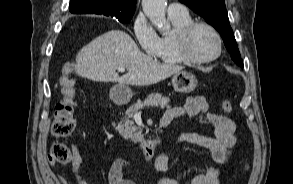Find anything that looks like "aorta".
<instances>
[{
	"label": "aorta",
	"instance_id": "762f6f07",
	"mask_svg": "<svg viewBox=\"0 0 293 184\" xmlns=\"http://www.w3.org/2000/svg\"><path fill=\"white\" fill-rule=\"evenodd\" d=\"M142 7L145 15L161 32L170 29L165 18L166 0H142Z\"/></svg>",
	"mask_w": 293,
	"mask_h": 184
}]
</instances>
